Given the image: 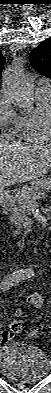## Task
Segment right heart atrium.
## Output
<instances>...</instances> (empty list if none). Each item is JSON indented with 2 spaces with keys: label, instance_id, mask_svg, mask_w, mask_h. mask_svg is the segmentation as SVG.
I'll list each match as a JSON object with an SVG mask.
<instances>
[{
  "label": "right heart atrium",
  "instance_id": "d8ad5b80",
  "mask_svg": "<svg viewBox=\"0 0 51 393\" xmlns=\"http://www.w3.org/2000/svg\"><path fill=\"white\" fill-rule=\"evenodd\" d=\"M20 117L15 114L8 100L0 102V126L3 130L19 129Z\"/></svg>",
  "mask_w": 51,
  "mask_h": 393
}]
</instances>
